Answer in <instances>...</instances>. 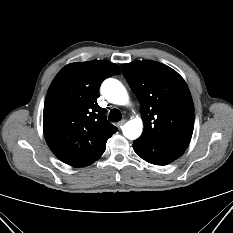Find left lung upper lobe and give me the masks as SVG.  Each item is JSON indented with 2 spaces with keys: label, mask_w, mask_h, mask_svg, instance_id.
<instances>
[{
  "label": "left lung upper lobe",
  "mask_w": 233,
  "mask_h": 233,
  "mask_svg": "<svg viewBox=\"0 0 233 233\" xmlns=\"http://www.w3.org/2000/svg\"><path fill=\"white\" fill-rule=\"evenodd\" d=\"M122 72L141 105L144 131L139 139L188 146L194 128V105L184 79L151 60L134 61Z\"/></svg>",
  "instance_id": "obj_1"
}]
</instances>
